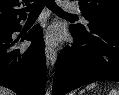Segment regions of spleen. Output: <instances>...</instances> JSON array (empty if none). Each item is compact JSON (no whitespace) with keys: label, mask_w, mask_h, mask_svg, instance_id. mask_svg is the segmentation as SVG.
<instances>
[{"label":"spleen","mask_w":119,"mask_h":95,"mask_svg":"<svg viewBox=\"0 0 119 95\" xmlns=\"http://www.w3.org/2000/svg\"><path fill=\"white\" fill-rule=\"evenodd\" d=\"M96 86H97V84L92 83V84H89V85L86 87V89H87V90H90V89L95 88ZM83 92H84V91H81V92H80V95H81ZM110 95H119V91H117V90H112V91L110 92Z\"/></svg>","instance_id":"spleen-1"}]
</instances>
